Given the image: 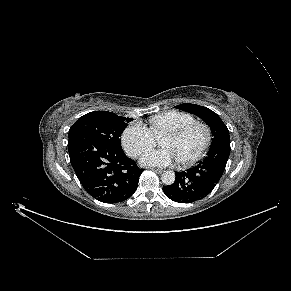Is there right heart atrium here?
I'll use <instances>...</instances> for the list:
<instances>
[{"mask_svg": "<svg viewBox=\"0 0 291 291\" xmlns=\"http://www.w3.org/2000/svg\"><path fill=\"white\" fill-rule=\"evenodd\" d=\"M155 142L156 137L151 130L138 122L129 125L122 134L123 147L132 157L140 156L144 151L150 149Z\"/></svg>", "mask_w": 291, "mask_h": 291, "instance_id": "right-heart-atrium-1", "label": "right heart atrium"}]
</instances>
